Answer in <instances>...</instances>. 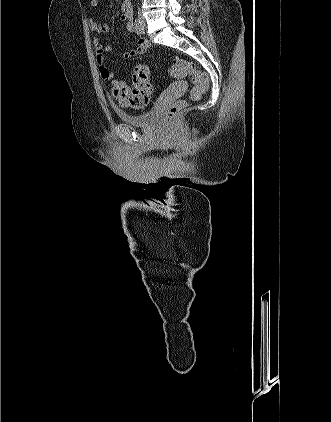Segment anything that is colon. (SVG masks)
Segmentation results:
<instances>
[{
  "instance_id": "1",
  "label": "colon",
  "mask_w": 331,
  "mask_h": 422,
  "mask_svg": "<svg viewBox=\"0 0 331 422\" xmlns=\"http://www.w3.org/2000/svg\"><path fill=\"white\" fill-rule=\"evenodd\" d=\"M169 72L171 76L176 78L191 77L193 87L189 100H197L206 93L209 85L208 75L199 70L193 62L177 59L173 62ZM112 91L118 100H122L132 107L142 108L146 106L152 91L148 67L143 64L137 65L133 73V85L128 86L120 81H115ZM186 104V100L176 101L167 110V117L172 119L178 116Z\"/></svg>"
}]
</instances>
